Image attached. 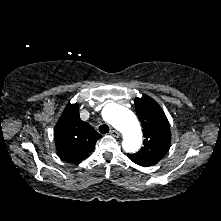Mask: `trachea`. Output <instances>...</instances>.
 Returning a JSON list of instances; mask_svg holds the SVG:
<instances>
[{"mask_svg": "<svg viewBox=\"0 0 221 221\" xmlns=\"http://www.w3.org/2000/svg\"><path fill=\"white\" fill-rule=\"evenodd\" d=\"M99 132L101 134H106V133H109V126L106 125V124H103L99 127Z\"/></svg>", "mask_w": 221, "mask_h": 221, "instance_id": "obj_1", "label": "trachea"}]
</instances>
